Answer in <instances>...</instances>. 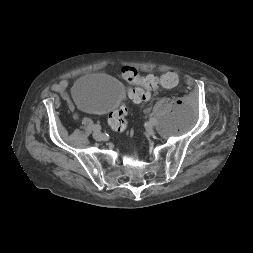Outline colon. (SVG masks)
Segmentation results:
<instances>
[{"mask_svg":"<svg viewBox=\"0 0 253 253\" xmlns=\"http://www.w3.org/2000/svg\"><path fill=\"white\" fill-rule=\"evenodd\" d=\"M122 77L129 84L142 86L128 89L129 97L136 103L149 100L151 90L157 87L173 88L179 81L175 72H166L160 76H141L136 69L131 67L122 70ZM126 115L125 105H121L109 115V124L114 131L122 132L126 128Z\"/></svg>","mask_w":253,"mask_h":253,"instance_id":"colon-1","label":"colon"}]
</instances>
